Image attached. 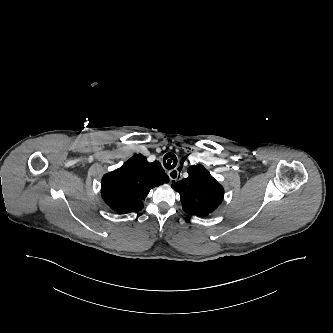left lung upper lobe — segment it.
<instances>
[{"mask_svg":"<svg viewBox=\"0 0 333 333\" xmlns=\"http://www.w3.org/2000/svg\"><path fill=\"white\" fill-rule=\"evenodd\" d=\"M188 178L172 184L179 192L183 210L190 215L207 216L222 202L223 187L202 166H190Z\"/></svg>","mask_w":333,"mask_h":333,"instance_id":"5c2ea615","label":"left lung upper lobe"}]
</instances>
